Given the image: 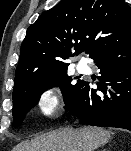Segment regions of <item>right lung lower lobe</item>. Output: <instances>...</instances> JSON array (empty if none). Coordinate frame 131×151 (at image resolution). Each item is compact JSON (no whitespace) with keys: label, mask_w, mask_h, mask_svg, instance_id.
Masks as SVG:
<instances>
[{"label":"right lung lower lobe","mask_w":131,"mask_h":151,"mask_svg":"<svg viewBox=\"0 0 131 151\" xmlns=\"http://www.w3.org/2000/svg\"><path fill=\"white\" fill-rule=\"evenodd\" d=\"M90 58L100 69L98 88L84 80L65 109L88 125L131 131V32L97 49Z\"/></svg>","instance_id":"right-lung-lower-lobe-1"}]
</instances>
